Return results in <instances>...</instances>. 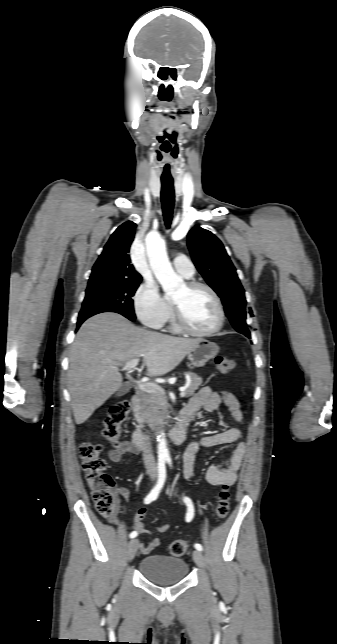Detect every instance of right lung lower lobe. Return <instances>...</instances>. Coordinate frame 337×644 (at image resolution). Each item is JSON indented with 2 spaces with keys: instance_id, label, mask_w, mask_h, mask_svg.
I'll list each match as a JSON object with an SVG mask.
<instances>
[{
  "instance_id": "obj_1",
  "label": "right lung lower lobe",
  "mask_w": 337,
  "mask_h": 644,
  "mask_svg": "<svg viewBox=\"0 0 337 644\" xmlns=\"http://www.w3.org/2000/svg\"><path fill=\"white\" fill-rule=\"evenodd\" d=\"M126 318H128V319H129V320H131V321H135V319H132V318H129V317H126ZM84 321H85V320H83V321H78V322H77V328H79V327H80V325H81Z\"/></svg>"
}]
</instances>
